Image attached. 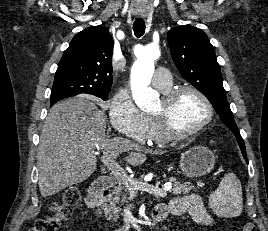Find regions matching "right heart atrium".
Returning a JSON list of instances; mask_svg holds the SVG:
<instances>
[{
    "label": "right heart atrium",
    "mask_w": 268,
    "mask_h": 231,
    "mask_svg": "<svg viewBox=\"0 0 268 231\" xmlns=\"http://www.w3.org/2000/svg\"><path fill=\"white\" fill-rule=\"evenodd\" d=\"M108 115L115 131L139 143L148 142L147 117L126 89H120L112 96L108 105Z\"/></svg>",
    "instance_id": "right-heart-atrium-1"
}]
</instances>
